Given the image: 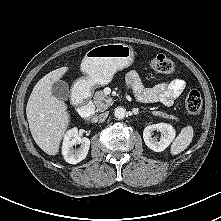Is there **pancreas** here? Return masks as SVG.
I'll list each match as a JSON object with an SVG mask.
<instances>
[{"label": "pancreas", "mask_w": 221, "mask_h": 221, "mask_svg": "<svg viewBox=\"0 0 221 221\" xmlns=\"http://www.w3.org/2000/svg\"><path fill=\"white\" fill-rule=\"evenodd\" d=\"M112 98L107 96L103 91H97L94 94V103L97 107L98 111H104L106 110L110 105H112ZM152 114L155 116H159L162 118H167V119H171V120H175L176 122H178V118L174 115H169L166 112H162V111H152Z\"/></svg>", "instance_id": "1"}]
</instances>
